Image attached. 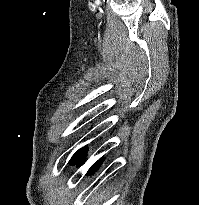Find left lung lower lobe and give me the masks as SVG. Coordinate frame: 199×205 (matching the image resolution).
<instances>
[{
  "instance_id": "obj_1",
  "label": "left lung lower lobe",
  "mask_w": 199,
  "mask_h": 205,
  "mask_svg": "<svg viewBox=\"0 0 199 205\" xmlns=\"http://www.w3.org/2000/svg\"><path fill=\"white\" fill-rule=\"evenodd\" d=\"M85 153H86V147L82 148V150L80 151L76 161L74 164H81L82 160L85 157ZM101 161H97L95 162V164H93V166L88 170L89 173H93L94 171H96V169H98L99 165H100Z\"/></svg>"
}]
</instances>
